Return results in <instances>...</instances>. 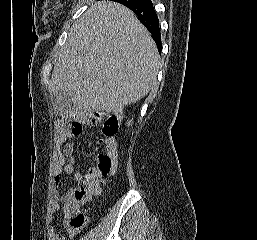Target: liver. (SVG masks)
I'll return each instance as SVG.
<instances>
[{
  "label": "liver",
  "mask_w": 257,
  "mask_h": 240,
  "mask_svg": "<svg viewBox=\"0 0 257 240\" xmlns=\"http://www.w3.org/2000/svg\"><path fill=\"white\" fill-rule=\"evenodd\" d=\"M160 55L127 7L99 1L73 24L52 73L50 91L76 109L109 111L145 97L156 83Z\"/></svg>",
  "instance_id": "1"
}]
</instances>
